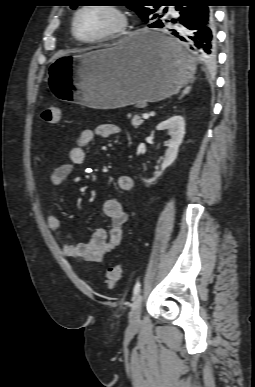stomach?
Masks as SVG:
<instances>
[{
    "mask_svg": "<svg viewBox=\"0 0 255 387\" xmlns=\"http://www.w3.org/2000/svg\"><path fill=\"white\" fill-rule=\"evenodd\" d=\"M147 33L139 30L111 47L54 59L48 82L57 99L112 109L176 94L193 78L195 66L179 44L183 59H167L144 42Z\"/></svg>",
    "mask_w": 255,
    "mask_h": 387,
    "instance_id": "obj_1",
    "label": "stomach"
}]
</instances>
